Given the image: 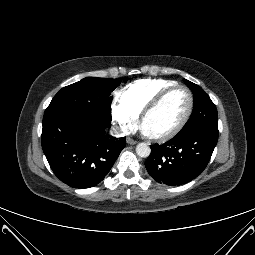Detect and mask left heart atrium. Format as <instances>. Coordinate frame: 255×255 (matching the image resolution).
<instances>
[{"label": "left heart atrium", "instance_id": "39dd6f15", "mask_svg": "<svg viewBox=\"0 0 255 255\" xmlns=\"http://www.w3.org/2000/svg\"><path fill=\"white\" fill-rule=\"evenodd\" d=\"M143 132L147 135H150V133L148 132V130L143 126Z\"/></svg>", "mask_w": 255, "mask_h": 255}]
</instances>
